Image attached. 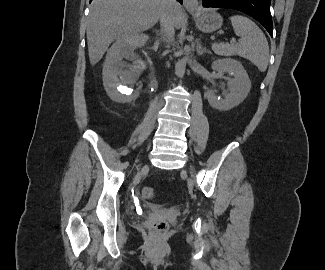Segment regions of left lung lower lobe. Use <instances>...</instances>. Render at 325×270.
I'll return each instance as SVG.
<instances>
[{
	"label": "left lung lower lobe",
	"mask_w": 325,
	"mask_h": 270,
	"mask_svg": "<svg viewBox=\"0 0 325 270\" xmlns=\"http://www.w3.org/2000/svg\"><path fill=\"white\" fill-rule=\"evenodd\" d=\"M203 7L229 8L244 12L259 21L273 36L270 0H203Z\"/></svg>",
	"instance_id": "left-lung-lower-lobe-1"
}]
</instances>
